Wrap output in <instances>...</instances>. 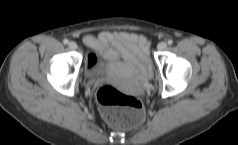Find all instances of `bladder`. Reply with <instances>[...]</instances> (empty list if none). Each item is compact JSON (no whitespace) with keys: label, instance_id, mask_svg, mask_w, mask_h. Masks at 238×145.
I'll list each match as a JSON object with an SVG mask.
<instances>
[{"label":"bladder","instance_id":"obj_1","mask_svg":"<svg viewBox=\"0 0 238 145\" xmlns=\"http://www.w3.org/2000/svg\"><path fill=\"white\" fill-rule=\"evenodd\" d=\"M112 64L107 61V60H103L101 58L98 57H93L90 59L88 65H87V72H88V76L91 79H96V77L98 76V74L105 69L108 66H111ZM150 73L147 75V77L149 78Z\"/></svg>","mask_w":238,"mask_h":145}]
</instances>
